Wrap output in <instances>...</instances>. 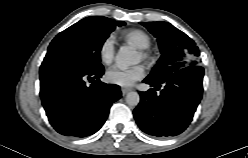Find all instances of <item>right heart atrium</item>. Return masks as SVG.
I'll use <instances>...</instances> for the list:
<instances>
[{
    "label": "right heart atrium",
    "mask_w": 248,
    "mask_h": 158,
    "mask_svg": "<svg viewBox=\"0 0 248 158\" xmlns=\"http://www.w3.org/2000/svg\"><path fill=\"white\" fill-rule=\"evenodd\" d=\"M99 57L103 64L112 63L115 57V47L110 37L105 38L99 46Z\"/></svg>",
    "instance_id": "right-heart-atrium-1"
}]
</instances>
